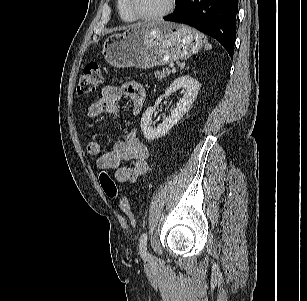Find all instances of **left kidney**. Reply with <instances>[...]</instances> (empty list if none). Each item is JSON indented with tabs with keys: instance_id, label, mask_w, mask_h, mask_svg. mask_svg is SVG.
<instances>
[{
	"instance_id": "1",
	"label": "left kidney",
	"mask_w": 307,
	"mask_h": 301,
	"mask_svg": "<svg viewBox=\"0 0 307 301\" xmlns=\"http://www.w3.org/2000/svg\"><path fill=\"white\" fill-rule=\"evenodd\" d=\"M200 84L199 82L189 75H184L177 78L165 91L164 95L157 98L155 105L149 107L141 118V130L147 140H155L165 135L182 117L189 111L192 103L194 102ZM181 90L183 96L180 98L176 107L173 108L171 114L167 116L161 124L156 128L152 127L151 117L160 104L163 98L170 96L173 92Z\"/></svg>"
}]
</instances>
